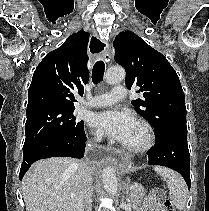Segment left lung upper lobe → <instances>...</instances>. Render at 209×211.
<instances>
[{
  "label": "left lung upper lobe",
  "instance_id": "1",
  "mask_svg": "<svg viewBox=\"0 0 209 211\" xmlns=\"http://www.w3.org/2000/svg\"><path fill=\"white\" fill-rule=\"evenodd\" d=\"M114 46L115 61L126 70L127 88L138 86L137 92L143 93L132 104L152 124L156 140L171 129L186 127L184 92L166 57L131 31L119 33Z\"/></svg>",
  "mask_w": 209,
  "mask_h": 211
}]
</instances>
